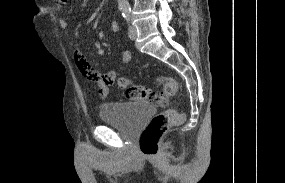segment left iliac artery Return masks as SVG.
I'll list each match as a JSON object with an SVG mask.
<instances>
[{
    "label": "left iliac artery",
    "mask_w": 285,
    "mask_h": 183,
    "mask_svg": "<svg viewBox=\"0 0 285 183\" xmlns=\"http://www.w3.org/2000/svg\"><path fill=\"white\" fill-rule=\"evenodd\" d=\"M123 17L129 21V15L131 12V8L129 6H125L121 8Z\"/></svg>",
    "instance_id": "44dca946"
}]
</instances>
